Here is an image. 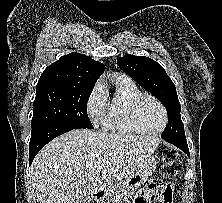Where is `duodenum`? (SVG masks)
Masks as SVG:
<instances>
[{"mask_svg": "<svg viewBox=\"0 0 222 203\" xmlns=\"http://www.w3.org/2000/svg\"><path fill=\"white\" fill-rule=\"evenodd\" d=\"M106 197V191L104 189H98L93 193V199L97 203H101Z\"/></svg>", "mask_w": 222, "mask_h": 203, "instance_id": "obj_1", "label": "duodenum"}]
</instances>
